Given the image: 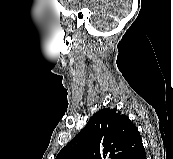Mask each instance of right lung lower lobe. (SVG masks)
Instances as JSON below:
<instances>
[{
	"label": "right lung lower lobe",
	"mask_w": 173,
	"mask_h": 159,
	"mask_svg": "<svg viewBox=\"0 0 173 159\" xmlns=\"http://www.w3.org/2000/svg\"><path fill=\"white\" fill-rule=\"evenodd\" d=\"M134 159H146L145 149L139 153Z\"/></svg>",
	"instance_id": "1"
}]
</instances>
